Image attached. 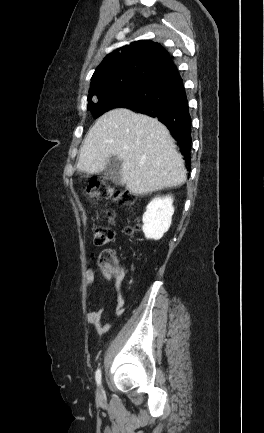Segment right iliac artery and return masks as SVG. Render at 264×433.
I'll return each mask as SVG.
<instances>
[{"label":"right iliac artery","instance_id":"right-iliac-artery-1","mask_svg":"<svg viewBox=\"0 0 264 433\" xmlns=\"http://www.w3.org/2000/svg\"><path fill=\"white\" fill-rule=\"evenodd\" d=\"M95 379H96L97 384L100 385L101 384V370L100 369H98L96 371V373H95Z\"/></svg>","mask_w":264,"mask_h":433}]
</instances>
